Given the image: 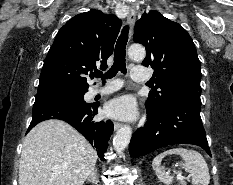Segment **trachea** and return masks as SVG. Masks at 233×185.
I'll return each instance as SVG.
<instances>
[{
  "label": "trachea",
  "instance_id": "3493384b",
  "mask_svg": "<svg viewBox=\"0 0 233 185\" xmlns=\"http://www.w3.org/2000/svg\"><path fill=\"white\" fill-rule=\"evenodd\" d=\"M128 31V26H125L122 29L121 35L117 40L114 50V63L109 71L105 75H103L101 71L94 72V76L101 78L103 83H105V79L113 78L118 73V71L122 72L123 74H126L127 72L125 56L126 44L128 41Z\"/></svg>",
  "mask_w": 233,
  "mask_h": 185
}]
</instances>
